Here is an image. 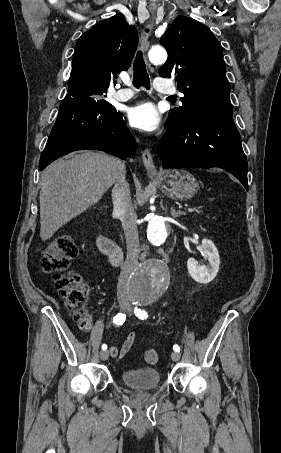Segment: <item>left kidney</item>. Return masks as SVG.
I'll return each mask as SVG.
<instances>
[{
    "label": "left kidney",
    "instance_id": "left-kidney-1",
    "mask_svg": "<svg viewBox=\"0 0 281 453\" xmlns=\"http://www.w3.org/2000/svg\"><path fill=\"white\" fill-rule=\"evenodd\" d=\"M202 249L203 253H205V255H207L208 257V265L199 267L195 259H188L187 269L194 281H197V283H202V285H206V283H211V281L215 279L219 271L220 259L219 253L212 241L203 239Z\"/></svg>",
    "mask_w": 281,
    "mask_h": 453
}]
</instances>
